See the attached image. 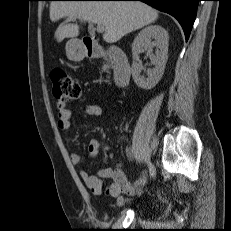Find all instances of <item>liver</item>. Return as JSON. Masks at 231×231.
<instances>
[{
    "label": "liver",
    "instance_id": "6515ba94",
    "mask_svg": "<svg viewBox=\"0 0 231 231\" xmlns=\"http://www.w3.org/2000/svg\"><path fill=\"white\" fill-rule=\"evenodd\" d=\"M67 17L81 22L99 23L104 26L103 39L116 43L125 35L155 22L158 12L142 2L135 1H53L50 19L57 21ZM79 34L77 24H61L55 34L58 42Z\"/></svg>",
    "mask_w": 231,
    "mask_h": 231
}]
</instances>
